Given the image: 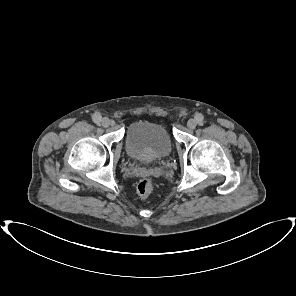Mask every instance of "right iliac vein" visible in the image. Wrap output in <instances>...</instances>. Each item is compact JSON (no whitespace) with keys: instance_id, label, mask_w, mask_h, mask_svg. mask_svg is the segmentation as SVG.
Returning a JSON list of instances; mask_svg holds the SVG:
<instances>
[{"instance_id":"63e3f726","label":"right iliac vein","mask_w":296,"mask_h":296,"mask_svg":"<svg viewBox=\"0 0 296 296\" xmlns=\"http://www.w3.org/2000/svg\"><path fill=\"white\" fill-rule=\"evenodd\" d=\"M101 124H102V126L103 127H109V125H110V120L108 119V118H103L102 120H101Z\"/></svg>"}]
</instances>
